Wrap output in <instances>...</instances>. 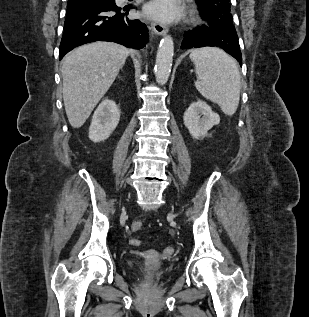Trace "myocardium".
<instances>
[{
    "label": "myocardium",
    "instance_id": "myocardium-1",
    "mask_svg": "<svg viewBox=\"0 0 309 317\" xmlns=\"http://www.w3.org/2000/svg\"><path fill=\"white\" fill-rule=\"evenodd\" d=\"M195 20H196V21H199V18L197 17Z\"/></svg>",
    "mask_w": 309,
    "mask_h": 317
}]
</instances>
